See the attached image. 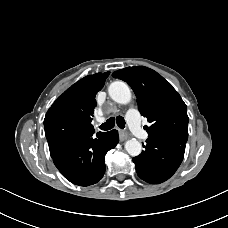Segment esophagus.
Segmentation results:
<instances>
[{
    "instance_id": "1",
    "label": "esophagus",
    "mask_w": 228,
    "mask_h": 228,
    "mask_svg": "<svg viewBox=\"0 0 228 228\" xmlns=\"http://www.w3.org/2000/svg\"><path fill=\"white\" fill-rule=\"evenodd\" d=\"M129 138V134L124 130H119V139L120 141H125Z\"/></svg>"
}]
</instances>
